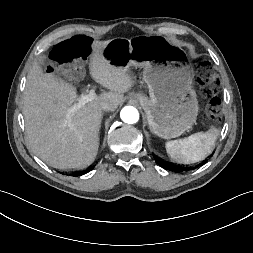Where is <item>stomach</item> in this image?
<instances>
[{"label": "stomach", "mask_w": 253, "mask_h": 253, "mask_svg": "<svg viewBox=\"0 0 253 253\" xmlns=\"http://www.w3.org/2000/svg\"><path fill=\"white\" fill-rule=\"evenodd\" d=\"M104 53L119 67L143 68L149 97L134 93L133 98L144 109L152 133L172 139L192 128L199 107L192 86L194 72L182 48L162 36L118 37L109 41Z\"/></svg>", "instance_id": "1"}]
</instances>
